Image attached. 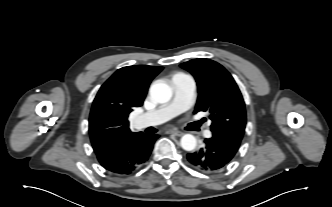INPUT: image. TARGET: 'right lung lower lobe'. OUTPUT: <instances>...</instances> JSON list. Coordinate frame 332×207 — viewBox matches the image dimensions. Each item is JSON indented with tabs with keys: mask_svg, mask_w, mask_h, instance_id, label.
I'll list each match as a JSON object with an SVG mask.
<instances>
[{
	"mask_svg": "<svg viewBox=\"0 0 332 207\" xmlns=\"http://www.w3.org/2000/svg\"><path fill=\"white\" fill-rule=\"evenodd\" d=\"M158 137L156 134L133 133L116 147L96 153L98 161L112 173L130 174L148 160Z\"/></svg>",
	"mask_w": 332,
	"mask_h": 207,
	"instance_id": "obj_1",
	"label": "right lung lower lobe"
}]
</instances>
